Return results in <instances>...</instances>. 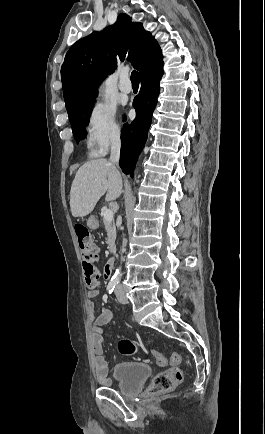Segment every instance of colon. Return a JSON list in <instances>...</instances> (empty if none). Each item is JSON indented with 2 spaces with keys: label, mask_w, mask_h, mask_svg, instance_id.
Returning <instances> with one entry per match:
<instances>
[{
  "label": "colon",
  "mask_w": 265,
  "mask_h": 434,
  "mask_svg": "<svg viewBox=\"0 0 265 434\" xmlns=\"http://www.w3.org/2000/svg\"><path fill=\"white\" fill-rule=\"evenodd\" d=\"M74 233L77 238L80 254L83 257L84 280L89 288L95 289L98 285L99 276V270L95 264L98 259V247L84 224H75ZM118 351L125 356L134 355L137 352V346L131 339L125 338L119 341ZM154 359L159 365H172V367L153 377L149 386L150 392L171 391L178 383L184 380L185 372L179 366L180 357L178 355L165 356L155 353Z\"/></svg>",
  "instance_id": "5ec220e1"
}]
</instances>
